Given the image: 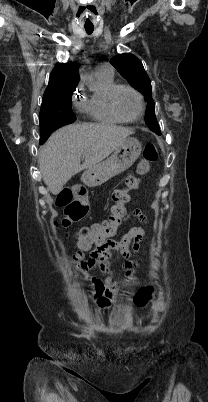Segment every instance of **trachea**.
Instances as JSON below:
<instances>
[{"label": "trachea", "instance_id": "obj_1", "mask_svg": "<svg viewBox=\"0 0 208 402\" xmlns=\"http://www.w3.org/2000/svg\"><path fill=\"white\" fill-rule=\"evenodd\" d=\"M93 30H94V27H85V31H86V33H88V35L93 33Z\"/></svg>", "mask_w": 208, "mask_h": 402}]
</instances>
